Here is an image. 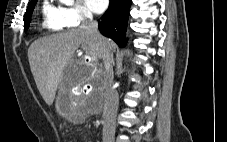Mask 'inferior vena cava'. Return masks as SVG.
I'll return each mask as SVG.
<instances>
[{"label": "inferior vena cava", "instance_id": "1", "mask_svg": "<svg viewBox=\"0 0 227 142\" xmlns=\"http://www.w3.org/2000/svg\"><path fill=\"white\" fill-rule=\"evenodd\" d=\"M85 20L80 29L92 36L99 42L101 58L104 63V88L106 93V102L104 108V126L102 133L103 142H113L116 127V114L118 110L119 98L118 93L111 88L113 83V67L110 50L103 44V36L98 31V23L93 20L92 13L85 11Z\"/></svg>", "mask_w": 227, "mask_h": 142}]
</instances>
